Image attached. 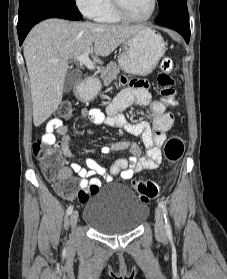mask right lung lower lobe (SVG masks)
<instances>
[{"label":"right lung lower lobe","mask_w":227,"mask_h":279,"mask_svg":"<svg viewBox=\"0 0 227 279\" xmlns=\"http://www.w3.org/2000/svg\"><path fill=\"white\" fill-rule=\"evenodd\" d=\"M48 18L77 21L82 15L76 5L64 0H25L19 6L17 31L20 45L34 25Z\"/></svg>","instance_id":"98d812e1"}]
</instances>
